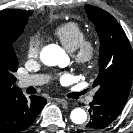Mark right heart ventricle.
<instances>
[{
    "label": "right heart ventricle",
    "instance_id": "1",
    "mask_svg": "<svg viewBox=\"0 0 133 133\" xmlns=\"http://www.w3.org/2000/svg\"><path fill=\"white\" fill-rule=\"evenodd\" d=\"M54 35L69 51H73L86 39L85 30L76 22H66L58 25L54 29Z\"/></svg>",
    "mask_w": 133,
    "mask_h": 133
}]
</instances>
